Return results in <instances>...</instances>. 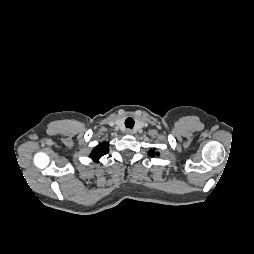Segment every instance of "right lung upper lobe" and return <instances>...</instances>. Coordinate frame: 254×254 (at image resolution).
Listing matches in <instances>:
<instances>
[{
    "instance_id": "1",
    "label": "right lung upper lobe",
    "mask_w": 254,
    "mask_h": 254,
    "mask_svg": "<svg viewBox=\"0 0 254 254\" xmlns=\"http://www.w3.org/2000/svg\"><path fill=\"white\" fill-rule=\"evenodd\" d=\"M109 151L107 143H100L92 150V159L97 161L103 155L107 154Z\"/></svg>"
}]
</instances>
